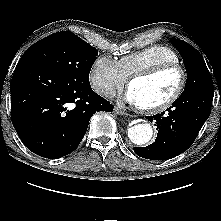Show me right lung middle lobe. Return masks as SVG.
Wrapping results in <instances>:
<instances>
[{
    "label": "right lung middle lobe",
    "mask_w": 221,
    "mask_h": 221,
    "mask_svg": "<svg viewBox=\"0 0 221 221\" xmlns=\"http://www.w3.org/2000/svg\"><path fill=\"white\" fill-rule=\"evenodd\" d=\"M98 50L67 31L54 33L33 44L20 61L30 60L78 83L90 84L89 73Z\"/></svg>",
    "instance_id": "right-lung-middle-lobe-1"
}]
</instances>
